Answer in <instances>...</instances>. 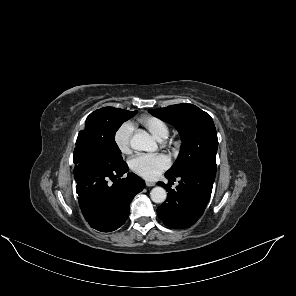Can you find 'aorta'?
Wrapping results in <instances>:
<instances>
[{
  "mask_svg": "<svg viewBox=\"0 0 296 296\" xmlns=\"http://www.w3.org/2000/svg\"><path fill=\"white\" fill-rule=\"evenodd\" d=\"M131 148L137 151H155L157 144L153 137L149 134L142 132L136 133L130 142ZM151 200L154 203H163L166 200L167 192L163 187H154L150 192Z\"/></svg>",
  "mask_w": 296,
  "mask_h": 296,
  "instance_id": "1",
  "label": "aorta"
}]
</instances>
